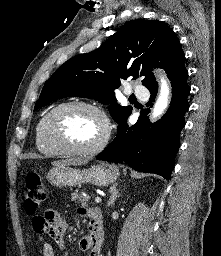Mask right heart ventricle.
I'll list each match as a JSON object with an SVG mask.
<instances>
[{"instance_id": "1", "label": "right heart ventricle", "mask_w": 221, "mask_h": 256, "mask_svg": "<svg viewBox=\"0 0 221 256\" xmlns=\"http://www.w3.org/2000/svg\"><path fill=\"white\" fill-rule=\"evenodd\" d=\"M45 116H43L39 122L36 125V129H35V145L36 148L38 149V151L46 156H57L59 154H61L58 150L48 146L42 139V135H41V127H42V121L43 118Z\"/></svg>"}]
</instances>
